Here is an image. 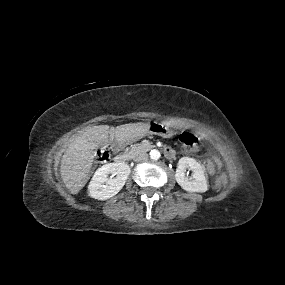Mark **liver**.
<instances>
[{
  "instance_id": "6515ba94",
  "label": "liver",
  "mask_w": 285,
  "mask_h": 285,
  "mask_svg": "<svg viewBox=\"0 0 285 285\" xmlns=\"http://www.w3.org/2000/svg\"><path fill=\"white\" fill-rule=\"evenodd\" d=\"M148 123L138 122L117 126H91L80 133L68 145L61 159L60 174L65 187L77 194L84 186L93 164V149L106 147L109 136L119 141H130L146 134Z\"/></svg>"
}]
</instances>
